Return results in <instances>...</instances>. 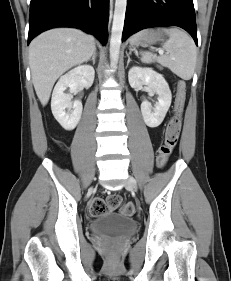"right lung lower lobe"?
Returning a JSON list of instances; mask_svg holds the SVG:
<instances>
[{
  "instance_id": "1",
  "label": "right lung lower lobe",
  "mask_w": 231,
  "mask_h": 281,
  "mask_svg": "<svg viewBox=\"0 0 231 281\" xmlns=\"http://www.w3.org/2000/svg\"><path fill=\"white\" fill-rule=\"evenodd\" d=\"M109 0H31L28 44L43 31L56 27L81 29L107 41Z\"/></svg>"
}]
</instances>
